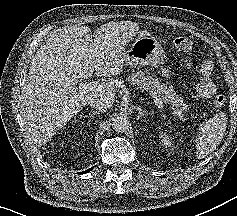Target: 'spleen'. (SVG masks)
Wrapping results in <instances>:
<instances>
[{
	"instance_id": "obj_1",
	"label": "spleen",
	"mask_w": 237,
	"mask_h": 216,
	"mask_svg": "<svg viewBox=\"0 0 237 216\" xmlns=\"http://www.w3.org/2000/svg\"><path fill=\"white\" fill-rule=\"evenodd\" d=\"M216 133L210 130V128H202L201 132L199 133L198 140L196 147L198 150H202L208 148L210 145L216 142Z\"/></svg>"
}]
</instances>
